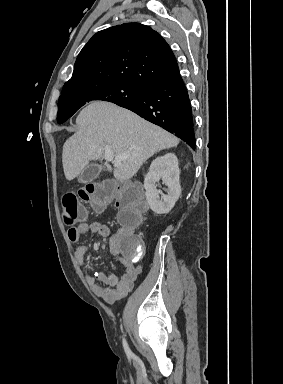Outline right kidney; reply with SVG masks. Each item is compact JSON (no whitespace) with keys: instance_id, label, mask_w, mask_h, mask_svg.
<instances>
[{"instance_id":"ca27d5eb","label":"right kidney","mask_w":283,"mask_h":384,"mask_svg":"<svg viewBox=\"0 0 283 384\" xmlns=\"http://www.w3.org/2000/svg\"><path fill=\"white\" fill-rule=\"evenodd\" d=\"M179 176L180 170L175 154H165V156H160L152 162L144 180L146 200L152 212L169 214L181 194ZM160 180L168 186L167 194H162L161 190H156L157 182ZM159 194H161V198Z\"/></svg>"}]
</instances>
